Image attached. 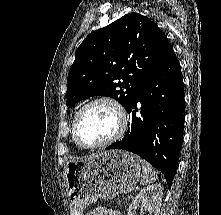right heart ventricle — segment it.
<instances>
[{"instance_id":"right-heart-ventricle-1","label":"right heart ventricle","mask_w":221,"mask_h":215,"mask_svg":"<svg viewBox=\"0 0 221 215\" xmlns=\"http://www.w3.org/2000/svg\"><path fill=\"white\" fill-rule=\"evenodd\" d=\"M72 139H73V141H74L73 135H72ZM74 143L76 144V142H75V141H74ZM76 146H77L78 148H81V147H79L77 144H76Z\"/></svg>"}]
</instances>
